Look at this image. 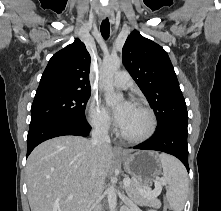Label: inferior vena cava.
Instances as JSON below:
<instances>
[{"instance_id":"602c4592","label":"inferior vena cava","mask_w":221,"mask_h":211,"mask_svg":"<svg viewBox=\"0 0 221 211\" xmlns=\"http://www.w3.org/2000/svg\"><path fill=\"white\" fill-rule=\"evenodd\" d=\"M91 144L96 147L98 151L102 148L110 147V138L108 135V125L106 122H99L95 124L92 130ZM104 188V177L99 174L94 182L92 192L89 197V206L91 211H102L101 199Z\"/></svg>"}]
</instances>
